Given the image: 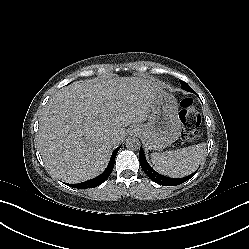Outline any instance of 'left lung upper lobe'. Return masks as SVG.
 Here are the masks:
<instances>
[{
    "instance_id": "obj_1",
    "label": "left lung upper lobe",
    "mask_w": 249,
    "mask_h": 249,
    "mask_svg": "<svg viewBox=\"0 0 249 249\" xmlns=\"http://www.w3.org/2000/svg\"><path fill=\"white\" fill-rule=\"evenodd\" d=\"M180 83H181V86H182V88H183L184 90L192 92V89L190 88V86H189L186 82L180 81ZM176 180H177V179H176ZM176 180L174 179V180L171 181V182H176Z\"/></svg>"
}]
</instances>
